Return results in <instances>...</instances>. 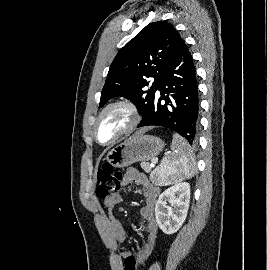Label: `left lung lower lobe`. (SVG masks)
<instances>
[{"mask_svg": "<svg viewBox=\"0 0 267 270\" xmlns=\"http://www.w3.org/2000/svg\"><path fill=\"white\" fill-rule=\"evenodd\" d=\"M158 90L160 98L155 97L138 127L162 126L175 131L195 146L199 116L198 84L191 54L183 40Z\"/></svg>", "mask_w": 267, "mask_h": 270, "instance_id": "left-lung-lower-lobe-1", "label": "left lung lower lobe"}]
</instances>
